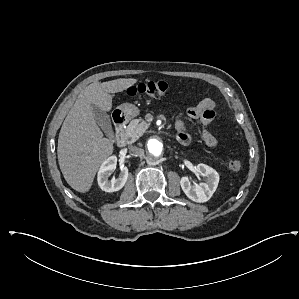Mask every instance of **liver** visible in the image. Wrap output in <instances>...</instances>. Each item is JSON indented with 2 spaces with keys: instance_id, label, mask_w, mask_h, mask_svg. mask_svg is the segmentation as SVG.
Segmentation results:
<instances>
[{
  "instance_id": "1",
  "label": "liver",
  "mask_w": 299,
  "mask_h": 299,
  "mask_svg": "<svg viewBox=\"0 0 299 299\" xmlns=\"http://www.w3.org/2000/svg\"><path fill=\"white\" fill-rule=\"evenodd\" d=\"M135 83L134 78L94 82L82 90L67 114L59 133L57 155L60 170L74 190L88 192L100 165L114 150L113 142L103 137L96 123L93 106L110 111V94L122 92Z\"/></svg>"
}]
</instances>
